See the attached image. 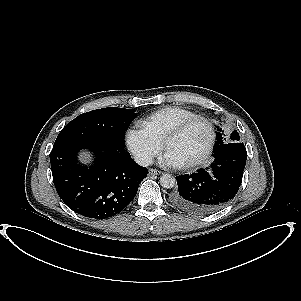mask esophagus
<instances>
[{"label": "esophagus", "mask_w": 301, "mask_h": 301, "mask_svg": "<svg viewBox=\"0 0 301 301\" xmlns=\"http://www.w3.org/2000/svg\"><path fill=\"white\" fill-rule=\"evenodd\" d=\"M161 174V171L156 169H149V175H159Z\"/></svg>", "instance_id": "esophagus-1"}]
</instances>
